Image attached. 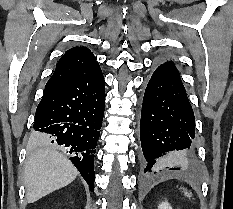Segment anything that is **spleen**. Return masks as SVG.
Masks as SVG:
<instances>
[{"instance_id": "3e777b00", "label": "spleen", "mask_w": 233, "mask_h": 209, "mask_svg": "<svg viewBox=\"0 0 233 209\" xmlns=\"http://www.w3.org/2000/svg\"><path fill=\"white\" fill-rule=\"evenodd\" d=\"M185 196H187L188 198H190L192 196L191 192H187L186 190L184 191Z\"/></svg>"}]
</instances>
